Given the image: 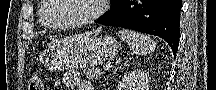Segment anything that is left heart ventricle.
I'll list each match as a JSON object with an SVG mask.
<instances>
[{
    "mask_svg": "<svg viewBox=\"0 0 216 90\" xmlns=\"http://www.w3.org/2000/svg\"><path fill=\"white\" fill-rule=\"evenodd\" d=\"M66 1V9L60 10L55 21L70 24L72 20L81 21L93 14L98 7V0H59Z\"/></svg>",
    "mask_w": 216,
    "mask_h": 90,
    "instance_id": "left-heart-ventricle-1",
    "label": "left heart ventricle"
}]
</instances>
